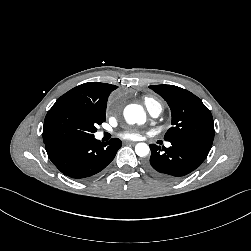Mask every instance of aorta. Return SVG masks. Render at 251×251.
Wrapping results in <instances>:
<instances>
[{"label": "aorta", "instance_id": "obj_1", "mask_svg": "<svg viewBox=\"0 0 251 251\" xmlns=\"http://www.w3.org/2000/svg\"><path fill=\"white\" fill-rule=\"evenodd\" d=\"M125 120L129 124H144L146 121V114L142 106L137 104H130L124 109ZM149 146L146 143H138L135 146V152L140 157H145L149 154Z\"/></svg>", "mask_w": 251, "mask_h": 251}]
</instances>
